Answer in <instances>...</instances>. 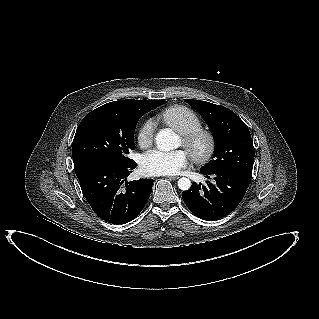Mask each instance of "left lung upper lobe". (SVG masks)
Returning <instances> with one entry per match:
<instances>
[{
	"mask_svg": "<svg viewBox=\"0 0 319 319\" xmlns=\"http://www.w3.org/2000/svg\"><path fill=\"white\" fill-rule=\"evenodd\" d=\"M184 101L203 117L215 139L213 160L202 170H231L251 178L255 151L246 124L226 107L194 99Z\"/></svg>",
	"mask_w": 319,
	"mask_h": 319,
	"instance_id": "5c2ea615",
	"label": "left lung upper lobe"
}]
</instances>
